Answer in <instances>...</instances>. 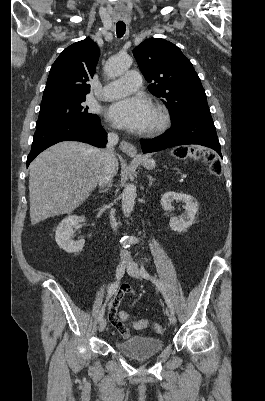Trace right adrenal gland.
Here are the masks:
<instances>
[{
  "label": "right adrenal gland",
  "mask_w": 265,
  "mask_h": 401,
  "mask_svg": "<svg viewBox=\"0 0 265 401\" xmlns=\"http://www.w3.org/2000/svg\"><path fill=\"white\" fill-rule=\"evenodd\" d=\"M109 186H106V188H101V190H98V192H108Z\"/></svg>",
  "instance_id": "2a0ac1e0"
}]
</instances>
